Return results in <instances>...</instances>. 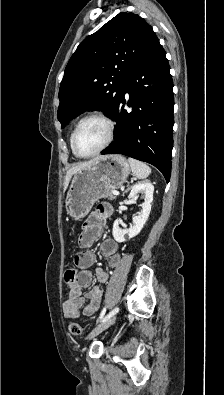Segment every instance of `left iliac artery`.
<instances>
[{
    "instance_id": "44dca946",
    "label": "left iliac artery",
    "mask_w": 224,
    "mask_h": 395,
    "mask_svg": "<svg viewBox=\"0 0 224 395\" xmlns=\"http://www.w3.org/2000/svg\"><path fill=\"white\" fill-rule=\"evenodd\" d=\"M119 311L118 307H115L112 311H110L106 316H105V312H106V308H104L100 314L99 317V321L103 322L104 320L112 317L113 315H115L117 312Z\"/></svg>"
}]
</instances>
